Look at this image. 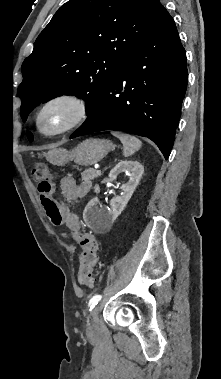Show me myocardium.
<instances>
[{
  "instance_id": "obj_1",
  "label": "myocardium",
  "mask_w": 221,
  "mask_h": 379,
  "mask_svg": "<svg viewBox=\"0 0 221 379\" xmlns=\"http://www.w3.org/2000/svg\"><path fill=\"white\" fill-rule=\"evenodd\" d=\"M61 107L66 111L64 122L57 128L48 130L43 126L45 114L52 108ZM89 114V106L82 96L64 92L52 95L41 102L34 114V126L38 134L51 138L65 134L82 124Z\"/></svg>"
}]
</instances>
